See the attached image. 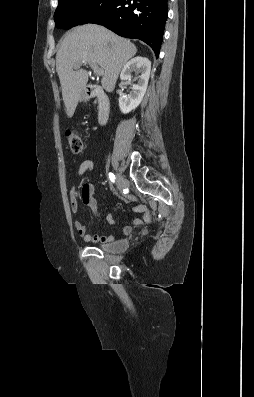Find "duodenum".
<instances>
[{"instance_id": "410a0bca", "label": "duodenum", "mask_w": 254, "mask_h": 397, "mask_svg": "<svg viewBox=\"0 0 254 397\" xmlns=\"http://www.w3.org/2000/svg\"><path fill=\"white\" fill-rule=\"evenodd\" d=\"M84 94L87 98H96L98 102V123L103 125L107 122L110 113V101L102 88L98 85H87Z\"/></svg>"}]
</instances>
